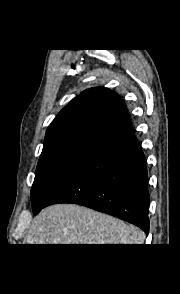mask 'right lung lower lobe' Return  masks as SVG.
Wrapping results in <instances>:
<instances>
[{
	"instance_id": "obj_1",
	"label": "right lung lower lobe",
	"mask_w": 180,
	"mask_h": 294,
	"mask_svg": "<svg viewBox=\"0 0 180 294\" xmlns=\"http://www.w3.org/2000/svg\"><path fill=\"white\" fill-rule=\"evenodd\" d=\"M56 203H75L113 215L148 234L147 169L129 119L99 142L42 208Z\"/></svg>"
}]
</instances>
